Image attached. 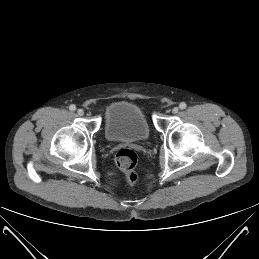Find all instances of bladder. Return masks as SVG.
Wrapping results in <instances>:
<instances>
[{"instance_id":"31cf9c89","label":"bladder","mask_w":259,"mask_h":259,"mask_svg":"<svg viewBox=\"0 0 259 259\" xmlns=\"http://www.w3.org/2000/svg\"><path fill=\"white\" fill-rule=\"evenodd\" d=\"M104 135L110 142H141L150 136L143 111L129 101L111 103L104 114Z\"/></svg>"}]
</instances>
